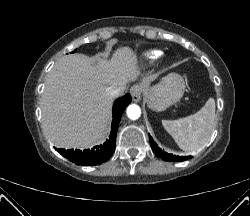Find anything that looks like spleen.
Instances as JSON below:
<instances>
[{
    "label": "spleen",
    "instance_id": "1",
    "mask_svg": "<svg viewBox=\"0 0 250 216\" xmlns=\"http://www.w3.org/2000/svg\"><path fill=\"white\" fill-rule=\"evenodd\" d=\"M215 117V100L209 98L197 113L178 120H162V125L182 150L195 152L209 140Z\"/></svg>",
    "mask_w": 250,
    "mask_h": 216
}]
</instances>
